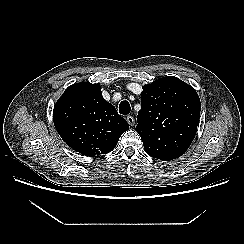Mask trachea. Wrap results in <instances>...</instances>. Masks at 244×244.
<instances>
[{
	"label": "trachea",
	"mask_w": 244,
	"mask_h": 244,
	"mask_svg": "<svg viewBox=\"0 0 244 244\" xmlns=\"http://www.w3.org/2000/svg\"><path fill=\"white\" fill-rule=\"evenodd\" d=\"M131 111V106L128 101H122L119 105V113L123 115L129 114Z\"/></svg>",
	"instance_id": "trachea-1"
}]
</instances>
